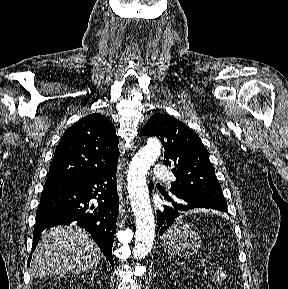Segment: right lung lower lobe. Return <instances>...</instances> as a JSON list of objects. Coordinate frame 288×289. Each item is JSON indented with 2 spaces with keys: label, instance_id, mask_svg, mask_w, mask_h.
<instances>
[{
  "label": "right lung lower lobe",
  "instance_id": "98d812e1",
  "mask_svg": "<svg viewBox=\"0 0 288 289\" xmlns=\"http://www.w3.org/2000/svg\"><path fill=\"white\" fill-rule=\"evenodd\" d=\"M116 171L117 164L92 174L46 184L36 212L33 251L45 229L74 222L91 234L113 266L112 247L119 208ZM92 199L97 202L93 203Z\"/></svg>",
  "mask_w": 288,
  "mask_h": 289
}]
</instances>
